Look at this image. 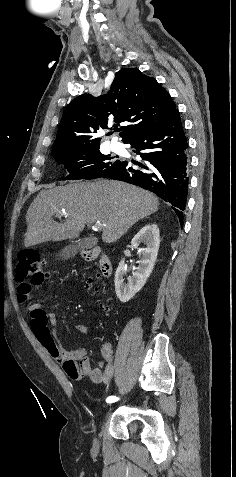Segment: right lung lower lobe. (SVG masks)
I'll list each match as a JSON object with an SVG mask.
<instances>
[{
  "instance_id": "98d812e1",
  "label": "right lung lower lobe",
  "mask_w": 236,
  "mask_h": 477,
  "mask_svg": "<svg viewBox=\"0 0 236 477\" xmlns=\"http://www.w3.org/2000/svg\"><path fill=\"white\" fill-rule=\"evenodd\" d=\"M145 161L135 169L121 161L106 177L149 190L172 204L183 224L188 187V143L178 111L163 126L138 134L128 142Z\"/></svg>"
}]
</instances>
